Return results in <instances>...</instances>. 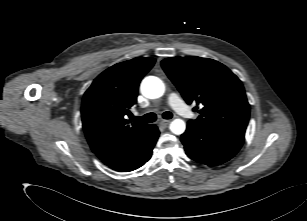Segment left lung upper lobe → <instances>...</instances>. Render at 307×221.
<instances>
[{
    "label": "left lung upper lobe",
    "mask_w": 307,
    "mask_h": 221,
    "mask_svg": "<svg viewBox=\"0 0 307 221\" xmlns=\"http://www.w3.org/2000/svg\"><path fill=\"white\" fill-rule=\"evenodd\" d=\"M161 65L185 101L199 109V117L189 122L245 134L250 105L242 82L226 66L197 56L166 58Z\"/></svg>",
    "instance_id": "left-lung-upper-lobe-1"
}]
</instances>
